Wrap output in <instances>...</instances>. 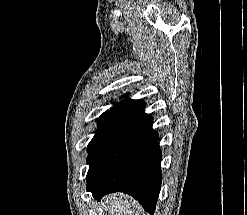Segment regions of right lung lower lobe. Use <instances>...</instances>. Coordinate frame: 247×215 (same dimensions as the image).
<instances>
[{"instance_id": "98d812e1", "label": "right lung lower lobe", "mask_w": 247, "mask_h": 215, "mask_svg": "<svg viewBox=\"0 0 247 215\" xmlns=\"http://www.w3.org/2000/svg\"><path fill=\"white\" fill-rule=\"evenodd\" d=\"M145 106L144 100H124L98 123L88 144L87 191L98 200L116 191L127 193L152 214L161 189L162 154Z\"/></svg>"}]
</instances>
